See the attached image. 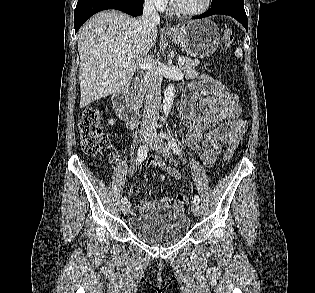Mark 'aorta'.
<instances>
[{"label": "aorta", "instance_id": "1", "mask_svg": "<svg viewBox=\"0 0 315 293\" xmlns=\"http://www.w3.org/2000/svg\"><path fill=\"white\" fill-rule=\"evenodd\" d=\"M175 89L172 84L168 85L164 92V100H163V112H164V120L168 117L169 112L171 111L173 101H174Z\"/></svg>", "mask_w": 315, "mask_h": 293}]
</instances>
